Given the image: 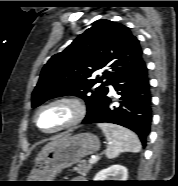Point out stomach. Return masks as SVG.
Here are the masks:
<instances>
[{
  "mask_svg": "<svg viewBox=\"0 0 178 186\" xmlns=\"http://www.w3.org/2000/svg\"><path fill=\"white\" fill-rule=\"evenodd\" d=\"M99 148V138L92 133L63 135L59 143L36 163L27 181H54L63 169L78 163L87 155L96 153Z\"/></svg>",
  "mask_w": 178,
  "mask_h": 186,
  "instance_id": "1",
  "label": "stomach"
}]
</instances>
